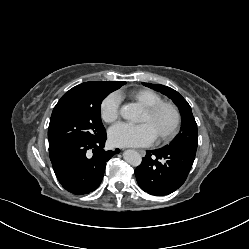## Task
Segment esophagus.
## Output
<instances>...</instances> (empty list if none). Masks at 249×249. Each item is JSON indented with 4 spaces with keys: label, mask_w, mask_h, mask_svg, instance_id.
<instances>
[{
    "label": "esophagus",
    "mask_w": 249,
    "mask_h": 249,
    "mask_svg": "<svg viewBox=\"0 0 249 249\" xmlns=\"http://www.w3.org/2000/svg\"><path fill=\"white\" fill-rule=\"evenodd\" d=\"M141 155H144L145 154V151L144 150H137Z\"/></svg>",
    "instance_id": "esophagus-1"
}]
</instances>
